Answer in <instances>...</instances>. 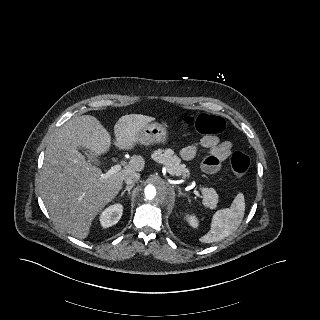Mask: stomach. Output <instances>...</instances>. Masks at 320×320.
Wrapping results in <instances>:
<instances>
[{
    "instance_id": "0dacf381",
    "label": "stomach",
    "mask_w": 320,
    "mask_h": 320,
    "mask_svg": "<svg viewBox=\"0 0 320 320\" xmlns=\"http://www.w3.org/2000/svg\"><path fill=\"white\" fill-rule=\"evenodd\" d=\"M139 143L143 145L166 144L167 128L159 123H148L138 132Z\"/></svg>"
}]
</instances>
